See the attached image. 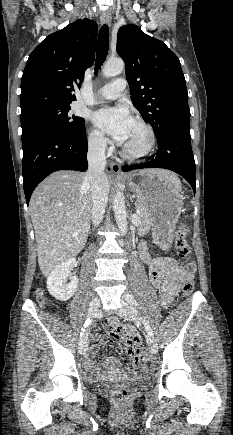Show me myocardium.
Wrapping results in <instances>:
<instances>
[{"mask_svg": "<svg viewBox=\"0 0 233 435\" xmlns=\"http://www.w3.org/2000/svg\"><path fill=\"white\" fill-rule=\"evenodd\" d=\"M134 123L143 127L148 135V142L146 146L139 152H131L125 147H121V155L128 160H138L147 157L154 149L156 143V135L150 124L140 118L134 119Z\"/></svg>", "mask_w": 233, "mask_h": 435, "instance_id": "myocardium-1", "label": "myocardium"}]
</instances>
